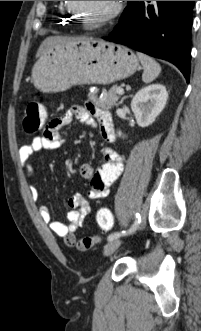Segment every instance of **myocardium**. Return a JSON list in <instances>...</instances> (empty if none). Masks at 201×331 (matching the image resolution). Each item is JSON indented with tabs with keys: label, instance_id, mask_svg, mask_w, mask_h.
Segmentation results:
<instances>
[{
	"label": "myocardium",
	"instance_id": "myocardium-1",
	"mask_svg": "<svg viewBox=\"0 0 201 331\" xmlns=\"http://www.w3.org/2000/svg\"><path fill=\"white\" fill-rule=\"evenodd\" d=\"M67 5H68V9L70 11H72L74 16L77 19L83 21L88 26H102V25H105V24L109 23L110 21H112L122 10V1H113L112 8L106 14H104L103 16L99 17L98 19H96L94 21H89L86 18H84L80 14V12H78V10L73 5L72 1H67Z\"/></svg>",
	"mask_w": 201,
	"mask_h": 331
}]
</instances>
